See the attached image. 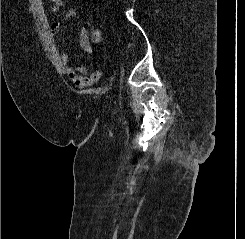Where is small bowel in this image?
Instances as JSON below:
<instances>
[{
    "mask_svg": "<svg viewBox=\"0 0 245 239\" xmlns=\"http://www.w3.org/2000/svg\"><path fill=\"white\" fill-rule=\"evenodd\" d=\"M52 3V12L57 13L59 10L65 5L64 0H53ZM78 17V11L74 8L69 9L66 14V19H73ZM60 29V22L56 21L52 24V32L54 34H58ZM94 39L97 40L100 37V34L98 32H95L93 35ZM80 46L83 50L88 52L89 54L94 53L93 46L86 34V32L81 33L80 37ZM61 61L65 66V70L69 78L80 88L88 87L96 82L99 81V79L103 75L102 67H101V58H98L97 63L94 67V69L91 72H88L85 68H77L75 67L72 62L71 58L67 54L61 55Z\"/></svg>",
    "mask_w": 245,
    "mask_h": 239,
    "instance_id": "c3829d8e",
    "label": "small bowel"
}]
</instances>
